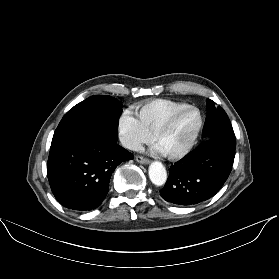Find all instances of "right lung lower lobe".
<instances>
[{"label":"right lung lower lobe","mask_w":279,"mask_h":279,"mask_svg":"<svg viewBox=\"0 0 279 279\" xmlns=\"http://www.w3.org/2000/svg\"><path fill=\"white\" fill-rule=\"evenodd\" d=\"M117 140L118 129L106 125L51 144L47 174L61 205L85 211L101 204L115 168L133 159Z\"/></svg>","instance_id":"right-lung-lower-lobe-1"}]
</instances>
